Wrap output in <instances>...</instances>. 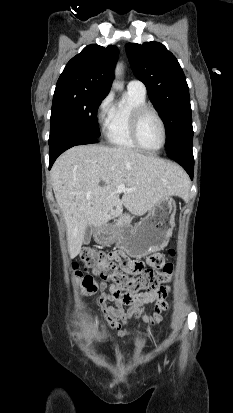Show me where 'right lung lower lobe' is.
I'll use <instances>...</instances> for the list:
<instances>
[{"label": "right lung lower lobe", "mask_w": 233, "mask_h": 413, "mask_svg": "<svg viewBox=\"0 0 233 413\" xmlns=\"http://www.w3.org/2000/svg\"><path fill=\"white\" fill-rule=\"evenodd\" d=\"M97 139L88 136L62 134L49 141V169H51L54 161L65 150L83 144L96 143Z\"/></svg>", "instance_id": "right-lung-lower-lobe-1"}]
</instances>
